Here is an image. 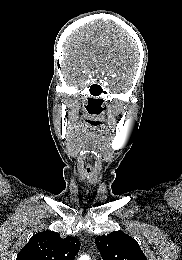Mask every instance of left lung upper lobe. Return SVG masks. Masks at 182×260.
Masks as SVG:
<instances>
[{
    "label": "left lung upper lobe",
    "instance_id": "1",
    "mask_svg": "<svg viewBox=\"0 0 182 260\" xmlns=\"http://www.w3.org/2000/svg\"><path fill=\"white\" fill-rule=\"evenodd\" d=\"M103 260H147L139 244L121 231L95 238Z\"/></svg>",
    "mask_w": 182,
    "mask_h": 260
}]
</instances>
